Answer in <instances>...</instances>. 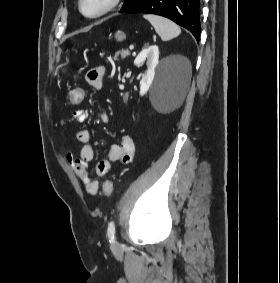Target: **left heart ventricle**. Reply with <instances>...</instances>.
I'll return each mask as SVG.
<instances>
[{
	"instance_id": "b2bd125f",
	"label": "left heart ventricle",
	"mask_w": 280,
	"mask_h": 283,
	"mask_svg": "<svg viewBox=\"0 0 280 283\" xmlns=\"http://www.w3.org/2000/svg\"><path fill=\"white\" fill-rule=\"evenodd\" d=\"M107 0H84L83 8L87 14H93L104 7Z\"/></svg>"
}]
</instances>
